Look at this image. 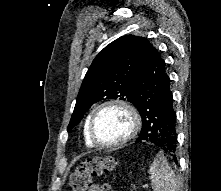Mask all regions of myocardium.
Wrapping results in <instances>:
<instances>
[{
  "label": "myocardium",
  "mask_w": 221,
  "mask_h": 191,
  "mask_svg": "<svg viewBox=\"0 0 221 191\" xmlns=\"http://www.w3.org/2000/svg\"><path fill=\"white\" fill-rule=\"evenodd\" d=\"M108 108H120L124 110L130 119V128L128 133L119 141L112 143H103L96 138L94 126L98 114ZM141 127V117L138 110L129 102L121 99H111L99 104L91 113L89 124H88V133L91 141L98 147L115 149L120 148L130 142L135 138Z\"/></svg>",
  "instance_id": "1"
}]
</instances>
